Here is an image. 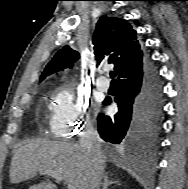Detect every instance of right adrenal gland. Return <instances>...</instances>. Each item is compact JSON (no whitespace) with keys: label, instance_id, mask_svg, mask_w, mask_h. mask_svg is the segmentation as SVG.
<instances>
[{"label":"right adrenal gland","instance_id":"right-adrenal-gland-1","mask_svg":"<svg viewBox=\"0 0 188 189\" xmlns=\"http://www.w3.org/2000/svg\"><path fill=\"white\" fill-rule=\"evenodd\" d=\"M112 184H119V182L113 180L109 181L108 173H106V175L104 176V182L102 184L103 189H108V187Z\"/></svg>","mask_w":188,"mask_h":189}]
</instances>
